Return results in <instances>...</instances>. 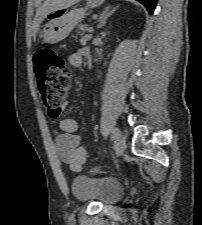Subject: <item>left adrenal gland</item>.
<instances>
[{
  "instance_id": "a2214340",
  "label": "left adrenal gland",
  "mask_w": 202,
  "mask_h": 225,
  "mask_svg": "<svg viewBox=\"0 0 202 225\" xmlns=\"http://www.w3.org/2000/svg\"><path fill=\"white\" fill-rule=\"evenodd\" d=\"M110 7L106 8L102 14L100 15V18H99V25L98 27L99 28H102L105 26L106 24V20L108 19V17L110 15H112L115 11H116V8L112 9L111 11H109Z\"/></svg>"
}]
</instances>
